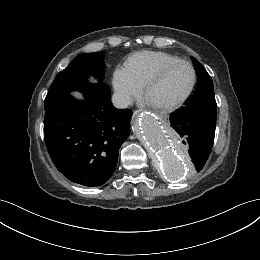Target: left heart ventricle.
<instances>
[{
  "label": "left heart ventricle",
  "mask_w": 260,
  "mask_h": 260,
  "mask_svg": "<svg viewBox=\"0 0 260 260\" xmlns=\"http://www.w3.org/2000/svg\"><path fill=\"white\" fill-rule=\"evenodd\" d=\"M192 79L191 69L180 64L170 71L151 89L149 100L155 105L174 102L184 95Z\"/></svg>",
  "instance_id": "1"
}]
</instances>
